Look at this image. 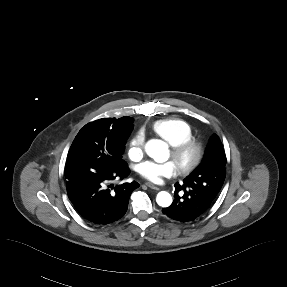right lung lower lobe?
Returning <instances> with one entry per match:
<instances>
[{"label":"right lung lower lobe","instance_id":"obj_1","mask_svg":"<svg viewBox=\"0 0 287 287\" xmlns=\"http://www.w3.org/2000/svg\"><path fill=\"white\" fill-rule=\"evenodd\" d=\"M129 173L127 163L113 166L91 156L67 159L68 197L85 220L99 225L112 223L124 216L132 191L140 185L133 181L113 186L110 182Z\"/></svg>","mask_w":287,"mask_h":287}]
</instances>
